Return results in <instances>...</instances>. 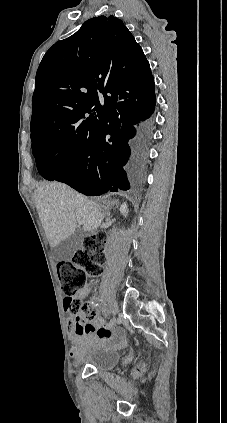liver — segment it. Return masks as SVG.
Masks as SVG:
<instances>
[{
	"label": "liver",
	"mask_w": 227,
	"mask_h": 423,
	"mask_svg": "<svg viewBox=\"0 0 227 423\" xmlns=\"http://www.w3.org/2000/svg\"><path fill=\"white\" fill-rule=\"evenodd\" d=\"M34 202L52 247L72 235L78 223L83 225L84 231L97 229L105 217L106 210H110L111 204L109 200L107 206L96 204L59 182L37 186Z\"/></svg>",
	"instance_id": "6515ba94"
}]
</instances>
